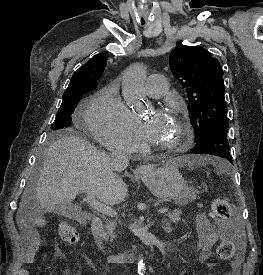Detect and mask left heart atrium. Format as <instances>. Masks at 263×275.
Wrapping results in <instances>:
<instances>
[{
	"instance_id": "1",
	"label": "left heart atrium",
	"mask_w": 263,
	"mask_h": 275,
	"mask_svg": "<svg viewBox=\"0 0 263 275\" xmlns=\"http://www.w3.org/2000/svg\"><path fill=\"white\" fill-rule=\"evenodd\" d=\"M166 117L163 113H156L153 118L144 126V133L148 140L153 141L160 131Z\"/></svg>"
}]
</instances>
